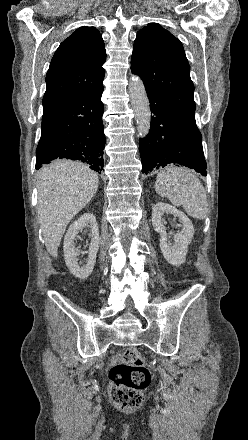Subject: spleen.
<instances>
[{
  "label": "spleen",
  "mask_w": 248,
  "mask_h": 440,
  "mask_svg": "<svg viewBox=\"0 0 248 440\" xmlns=\"http://www.w3.org/2000/svg\"><path fill=\"white\" fill-rule=\"evenodd\" d=\"M155 191L167 197L175 206H182L186 213L203 220L208 213L207 197L200 180L191 171L179 167H167L157 174Z\"/></svg>",
  "instance_id": "spleen-1"
}]
</instances>
